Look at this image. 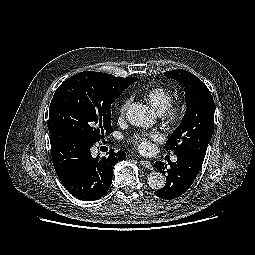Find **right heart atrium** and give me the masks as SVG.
Returning a JSON list of instances; mask_svg holds the SVG:
<instances>
[{
    "label": "right heart atrium",
    "mask_w": 255,
    "mask_h": 255,
    "mask_svg": "<svg viewBox=\"0 0 255 255\" xmlns=\"http://www.w3.org/2000/svg\"><path fill=\"white\" fill-rule=\"evenodd\" d=\"M130 105V99L124 100L118 108V113L120 117H123L126 114V111Z\"/></svg>",
    "instance_id": "right-heart-atrium-1"
}]
</instances>
